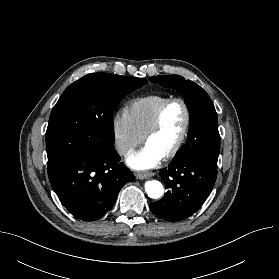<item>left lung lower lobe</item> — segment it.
<instances>
[{
  "mask_svg": "<svg viewBox=\"0 0 279 279\" xmlns=\"http://www.w3.org/2000/svg\"><path fill=\"white\" fill-rule=\"evenodd\" d=\"M168 191L150 204L153 214L169 222L184 220L194 214L209 196L217 176V166L202 159L178 158L159 174Z\"/></svg>",
  "mask_w": 279,
  "mask_h": 279,
  "instance_id": "obj_1",
  "label": "left lung lower lobe"
}]
</instances>
